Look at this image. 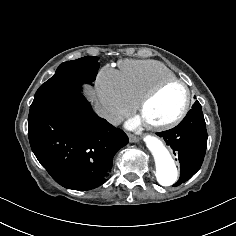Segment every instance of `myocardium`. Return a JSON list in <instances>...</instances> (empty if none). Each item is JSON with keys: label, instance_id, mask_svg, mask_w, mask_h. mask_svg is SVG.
Here are the masks:
<instances>
[{"label": "myocardium", "instance_id": "obj_1", "mask_svg": "<svg viewBox=\"0 0 236 236\" xmlns=\"http://www.w3.org/2000/svg\"><path fill=\"white\" fill-rule=\"evenodd\" d=\"M172 84H179L181 85L186 92V101L184 104V107L182 109V111L179 113V115L164 124H150V123H144V125L146 126L147 129L153 131V132H157V133H162V132H166L169 131L175 127H177L178 125H180L185 118L188 116L190 110H191V106H192V91L191 88L188 86V84H186L183 80L178 79V78H169V79H165L162 80L160 82H158L154 87H152L149 91H147L142 98L138 101L137 104V108L139 113H141L145 107L161 92L163 91L166 87H168L169 85Z\"/></svg>", "mask_w": 236, "mask_h": 236}]
</instances>
